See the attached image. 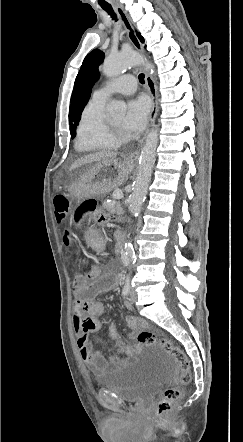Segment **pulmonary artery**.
<instances>
[{
  "label": "pulmonary artery",
  "instance_id": "pulmonary-artery-1",
  "mask_svg": "<svg viewBox=\"0 0 243 442\" xmlns=\"http://www.w3.org/2000/svg\"><path fill=\"white\" fill-rule=\"evenodd\" d=\"M135 88V77L130 74H125L94 91L93 98L106 101L111 95L116 93L131 94L135 91Z\"/></svg>",
  "mask_w": 243,
  "mask_h": 442
}]
</instances>
